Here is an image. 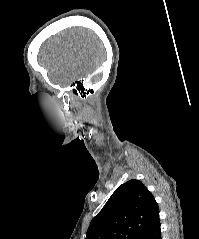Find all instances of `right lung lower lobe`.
<instances>
[{"label": "right lung lower lobe", "instance_id": "98d812e1", "mask_svg": "<svg viewBox=\"0 0 199 239\" xmlns=\"http://www.w3.org/2000/svg\"><path fill=\"white\" fill-rule=\"evenodd\" d=\"M139 239H161L160 221L157 219L140 237Z\"/></svg>", "mask_w": 199, "mask_h": 239}]
</instances>
